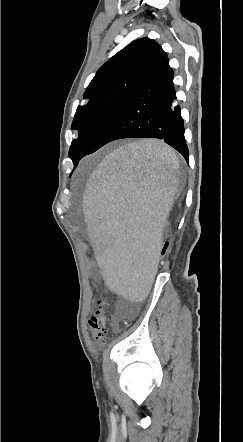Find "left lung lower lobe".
<instances>
[{"instance_id":"left-lung-lower-lobe-1","label":"left lung lower lobe","mask_w":243,"mask_h":442,"mask_svg":"<svg viewBox=\"0 0 243 442\" xmlns=\"http://www.w3.org/2000/svg\"><path fill=\"white\" fill-rule=\"evenodd\" d=\"M173 71L166 53L144 80L119 104L87 154L123 138H158L188 162L180 107L175 105Z\"/></svg>"}]
</instances>
